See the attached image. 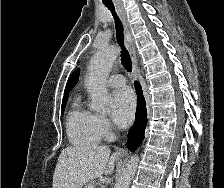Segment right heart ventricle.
<instances>
[{
  "instance_id": "obj_1",
  "label": "right heart ventricle",
  "mask_w": 224,
  "mask_h": 188,
  "mask_svg": "<svg viewBox=\"0 0 224 188\" xmlns=\"http://www.w3.org/2000/svg\"><path fill=\"white\" fill-rule=\"evenodd\" d=\"M67 134L76 146H93L99 143L101 134L96 125V115L84 108L77 99L67 116Z\"/></svg>"
}]
</instances>
